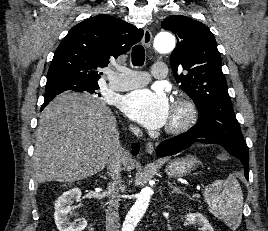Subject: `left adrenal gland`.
<instances>
[{
	"label": "left adrenal gland",
	"instance_id": "a2214340",
	"mask_svg": "<svg viewBox=\"0 0 268 231\" xmlns=\"http://www.w3.org/2000/svg\"><path fill=\"white\" fill-rule=\"evenodd\" d=\"M168 186H170V187L172 188L171 193H180L179 188H177L176 186H174V185H173L172 183H170L169 181H168Z\"/></svg>",
	"mask_w": 268,
	"mask_h": 231
}]
</instances>
